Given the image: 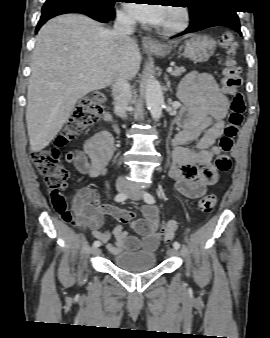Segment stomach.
I'll list each match as a JSON object with an SVG mask.
<instances>
[{
  "mask_svg": "<svg viewBox=\"0 0 270 338\" xmlns=\"http://www.w3.org/2000/svg\"><path fill=\"white\" fill-rule=\"evenodd\" d=\"M173 49L172 44H162L159 48L148 49L149 52L165 57L171 53ZM215 50V42L213 39L202 36L193 35L185 42L184 55L195 63L206 62L213 55Z\"/></svg>",
  "mask_w": 270,
  "mask_h": 338,
  "instance_id": "0dacf381",
  "label": "stomach"
}]
</instances>
